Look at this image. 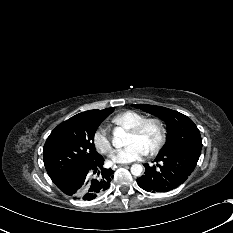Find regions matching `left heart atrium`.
Masks as SVG:
<instances>
[{
    "mask_svg": "<svg viewBox=\"0 0 233 233\" xmlns=\"http://www.w3.org/2000/svg\"><path fill=\"white\" fill-rule=\"evenodd\" d=\"M147 151L138 143H132L125 148L118 149L111 154V160L115 163H130L145 156Z\"/></svg>",
    "mask_w": 233,
    "mask_h": 233,
    "instance_id": "1",
    "label": "left heart atrium"
}]
</instances>
